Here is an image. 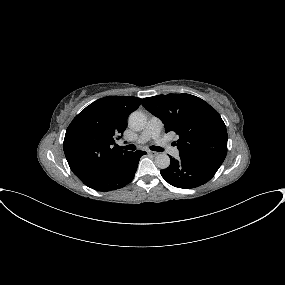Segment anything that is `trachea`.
I'll return each mask as SVG.
<instances>
[{
  "label": "trachea",
  "mask_w": 285,
  "mask_h": 285,
  "mask_svg": "<svg viewBox=\"0 0 285 285\" xmlns=\"http://www.w3.org/2000/svg\"><path fill=\"white\" fill-rule=\"evenodd\" d=\"M120 148L134 151L136 149V146L131 144V145L123 146V147H120ZM150 150L158 151V152L164 151V149L159 147V146H150Z\"/></svg>",
  "instance_id": "trachea-1"
}]
</instances>
